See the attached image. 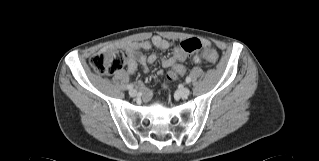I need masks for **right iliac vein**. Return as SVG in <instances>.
Returning <instances> with one entry per match:
<instances>
[{
	"label": "right iliac vein",
	"mask_w": 319,
	"mask_h": 161,
	"mask_svg": "<svg viewBox=\"0 0 319 161\" xmlns=\"http://www.w3.org/2000/svg\"><path fill=\"white\" fill-rule=\"evenodd\" d=\"M129 94L131 97H135V96H137V91L135 89H132L129 91Z\"/></svg>",
	"instance_id": "63e3f726"
}]
</instances>
